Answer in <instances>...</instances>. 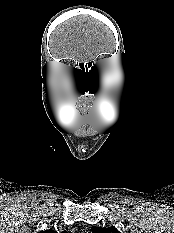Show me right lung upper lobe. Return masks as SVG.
I'll use <instances>...</instances> for the list:
<instances>
[{"label": "right lung upper lobe", "instance_id": "cb5924a9", "mask_svg": "<svg viewBox=\"0 0 174 233\" xmlns=\"http://www.w3.org/2000/svg\"><path fill=\"white\" fill-rule=\"evenodd\" d=\"M38 233H57L56 231L50 229V230H45V231H40ZM62 233H67L66 231H63Z\"/></svg>", "mask_w": 174, "mask_h": 233}]
</instances>
